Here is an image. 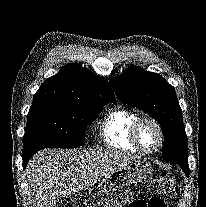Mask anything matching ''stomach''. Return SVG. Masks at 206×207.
<instances>
[{"label":"stomach","mask_w":206,"mask_h":207,"mask_svg":"<svg viewBox=\"0 0 206 207\" xmlns=\"http://www.w3.org/2000/svg\"><path fill=\"white\" fill-rule=\"evenodd\" d=\"M152 173L151 162L138 158L103 178L98 185L99 194H110L125 186L145 181Z\"/></svg>","instance_id":"1"}]
</instances>
